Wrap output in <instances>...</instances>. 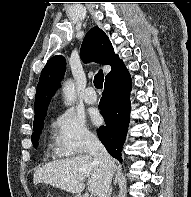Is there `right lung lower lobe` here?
<instances>
[{"mask_svg":"<svg viewBox=\"0 0 191 197\" xmlns=\"http://www.w3.org/2000/svg\"><path fill=\"white\" fill-rule=\"evenodd\" d=\"M130 91L131 78L126 69L105 80L99 103L106 126L98 129V137L110 155L119 161L130 120Z\"/></svg>","mask_w":191,"mask_h":197,"instance_id":"98d812e1","label":"right lung lower lobe"}]
</instances>
